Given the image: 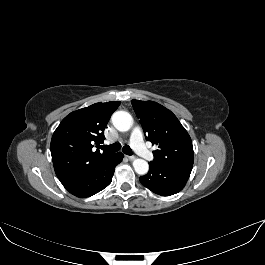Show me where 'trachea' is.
<instances>
[{"instance_id":"1","label":"trachea","mask_w":265,"mask_h":265,"mask_svg":"<svg viewBox=\"0 0 265 265\" xmlns=\"http://www.w3.org/2000/svg\"><path fill=\"white\" fill-rule=\"evenodd\" d=\"M100 149L107 151V152H117L120 150L121 148V144L120 143H115V144H111V145H101L99 146ZM122 151L126 154V155H132V150L129 146L125 145L122 148Z\"/></svg>"}]
</instances>
